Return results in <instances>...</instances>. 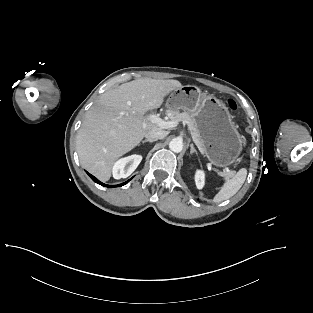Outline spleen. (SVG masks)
I'll list each match as a JSON object with an SVG mask.
<instances>
[{
  "instance_id": "3e777b00",
  "label": "spleen",
  "mask_w": 313,
  "mask_h": 313,
  "mask_svg": "<svg viewBox=\"0 0 313 313\" xmlns=\"http://www.w3.org/2000/svg\"><path fill=\"white\" fill-rule=\"evenodd\" d=\"M246 176L247 170L242 168L233 178L226 179L220 191L214 196L213 202L220 203L234 196L244 184Z\"/></svg>"
}]
</instances>
